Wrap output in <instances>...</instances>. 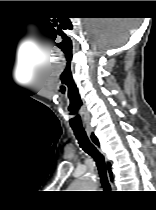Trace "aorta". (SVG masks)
Wrapping results in <instances>:
<instances>
[{"instance_id":"aorta-1","label":"aorta","mask_w":156,"mask_h":210,"mask_svg":"<svg viewBox=\"0 0 156 210\" xmlns=\"http://www.w3.org/2000/svg\"><path fill=\"white\" fill-rule=\"evenodd\" d=\"M96 184V177L93 173H87L79 178L72 186L77 191H86L88 189H94Z\"/></svg>"}]
</instances>
